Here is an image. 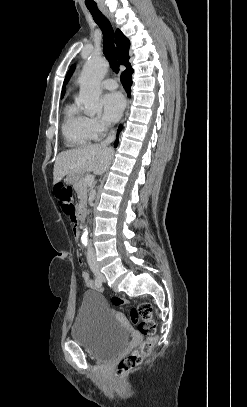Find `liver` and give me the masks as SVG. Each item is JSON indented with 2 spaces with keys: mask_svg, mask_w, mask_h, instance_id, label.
<instances>
[{
  "mask_svg": "<svg viewBox=\"0 0 247 407\" xmlns=\"http://www.w3.org/2000/svg\"><path fill=\"white\" fill-rule=\"evenodd\" d=\"M112 155L113 151L110 148L102 147L100 144L61 152L54 164V184L60 182L65 175L81 176L85 172L101 175L108 167Z\"/></svg>",
  "mask_w": 247,
  "mask_h": 407,
  "instance_id": "1",
  "label": "liver"
}]
</instances>
